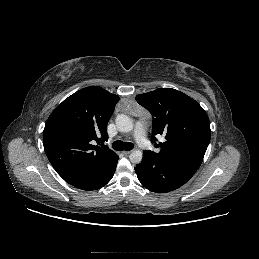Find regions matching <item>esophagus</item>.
Returning a JSON list of instances; mask_svg holds the SVG:
<instances>
[{"instance_id": "1", "label": "esophagus", "mask_w": 259, "mask_h": 259, "mask_svg": "<svg viewBox=\"0 0 259 259\" xmlns=\"http://www.w3.org/2000/svg\"><path fill=\"white\" fill-rule=\"evenodd\" d=\"M130 153H131V151H123V154H124L125 156H128Z\"/></svg>"}]
</instances>
